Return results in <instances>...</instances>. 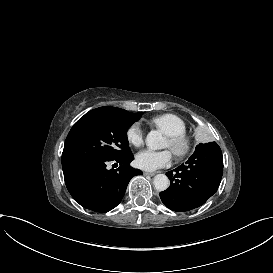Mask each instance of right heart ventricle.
Instances as JSON below:
<instances>
[{
  "mask_svg": "<svg viewBox=\"0 0 273 273\" xmlns=\"http://www.w3.org/2000/svg\"><path fill=\"white\" fill-rule=\"evenodd\" d=\"M149 124L162 128L169 135L184 134L187 124L185 120L175 113H165L152 117Z\"/></svg>",
  "mask_w": 273,
  "mask_h": 273,
  "instance_id": "right-heart-ventricle-1",
  "label": "right heart ventricle"
}]
</instances>
